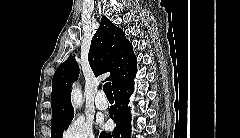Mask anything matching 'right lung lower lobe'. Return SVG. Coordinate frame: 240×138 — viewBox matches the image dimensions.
I'll return each mask as SVG.
<instances>
[{"label": "right lung lower lobe", "mask_w": 240, "mask_h": 138, "mask_svg": "<svg viewBox=\"0 0 240 138\" xmlns=\"http://www.w3.org/2000/svg\"><path fill=\"white\" fill-rule=\"evenodd\" d=\"M134 77L116 86L115 104L110 108V117L116 123L112 133L102 132L100 138H129L131 134L130 113L128 112L129 96L133 92Z\"/></svg>", "instance_id": "obj_1"}]
</instances>
